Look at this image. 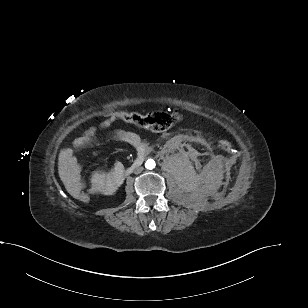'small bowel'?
Wrapping results in <instances>:
<instances>
[{"label":"small bowel","mask_w":308,"mask_h":308,"mask_svg":"<svg viewBox=\"0 0 308 308\" xmlns=\"http://www.w3.org/2000/svg\"><path fill=\"white\" fill-rule=\"evenodd\" d=\"M117 119V113L111 114L107 119L100 124L101 127L107 128ZM95 128L90 127L85 133L76 138L73 142V147H67L59 153V165L62 176L67 184L68 191L71 195H75L79 191L86 190L89 194H104L110 195L119 187L123 177L124 166L121 163H116L113 168L108 171H95L90 179L88 186L85 185L81 178V167L74 155V149L82 147L93 142ZM114 137L130 146L137 149H142L145 146V141L135 132L127 130H117Z\"/></svg>","instance_id":"1"}]
</instances>
